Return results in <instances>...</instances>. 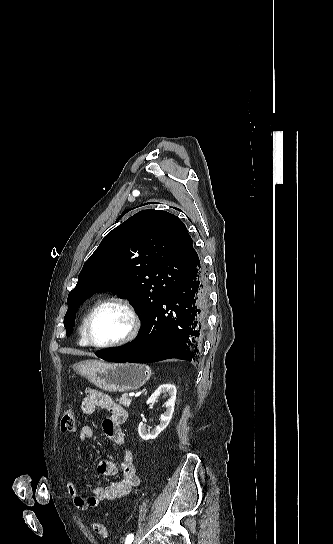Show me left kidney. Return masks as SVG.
I'll list each match as a JSON object with an SVG mask.
<instances>
[{
  "label": "left kidney",
  "instance_id": "left-kidney-1",
  "mask_svg": "<svg viewBox=\"0 0 333 544\" xmlns=\"http://www.w3.org/2000/svg\"><path fill=\"white\" fill-rule=\"evenodd\" d=\"M160 394L168 395L169 399L166 402V411L160 416V424L151 430L146 424L140 422L138 426V434L143 440L155 439L169 424L176 400V387L173 384H163L150 396L147 404L154 403Z\"/></svg>",
  "mask_w": 333,
  "mask_h": 544
}]
</instances>
